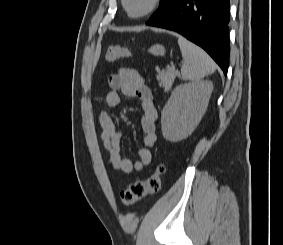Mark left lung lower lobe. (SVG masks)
<instances>
[{
	"label": "left lung lower lobe",
	"instance_id": "1",
	"mask_svg": "<svg viewBox=\"0 0 283 245\" xmlns=\"http://www.w3.org/2000/svg\"><path fill=\"white\" fill-rule=\"evenodd\" d=\"M230 0H173L147 25L180 33L202 47L221 67L229 62Z\"/></svg>",
	"mask_w": 283,
	"mask_h": 245
}]
</instances>
